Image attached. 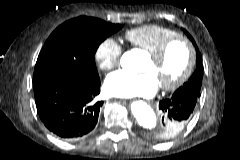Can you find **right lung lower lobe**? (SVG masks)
Instances as JSON below:
<instances>
[{
  "label": "right lung lower lobe",
  "instance_id": "98d812e1",
  "mask_svg": "<svg viewBox=\"0 0 240 160\" xmlns=\"http://www.w3.org/2000/svg\"><path fill=\"white\" fill-rule=\"evenodd\" d=\"M100 78L81 83L62 76H50L34 84V96L41 121L64 139H80L97 124L102 101Z\"/></svg>",
  "mask_w": 240,
  "mask_h": 160
}]
</instances>
